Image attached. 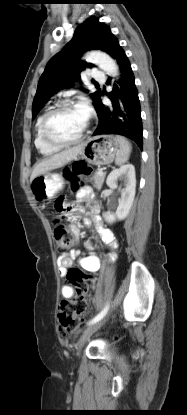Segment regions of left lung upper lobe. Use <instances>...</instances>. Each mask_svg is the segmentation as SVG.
<instances>
[{
	"label": "left lung upper lobe",
	"mask_w": 187,
	"mask_h": 415,
	"mask_svg": "<svg viewBox=\"0 0 187 415\" xmlns=\"http://www.w3.org/2000/svg\"><path fill=\"white\" fill-rule=\"evenodd\" d=\"M114 40L115 37L110 29L100 23L96 17H90L80 24L72 40L47 63L33 100L32 119L51 96L71 87V81L80 78V72L87 66V63L80 61L84 52L100 49L108 53ZM100 96V91L91 94L94 106Z\"/></svg>",
	"instance_id": "1"
}]
</instances>
